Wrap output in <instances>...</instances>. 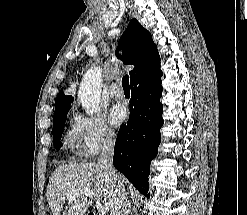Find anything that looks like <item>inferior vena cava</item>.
I'll return each instance as SVG.
<instances>
[{
    "mask_svg": "<svg viewBox=\"0 0 247 215\" xmlns=\"http://www.w3.org/2000/svg\"><path fill=\"white\" fill-rule=\"evenodd\" d=\"M115 140L106 139L103 142L102 151L97 161V165L104 170L105 178L114 188V198L112 201L111 215H128V199L125 188L119 180V174L113 167Z\"/></svg>",
    "mask_w": 247,
    "mask_h": 215,
    "instance_id": "obj_1",
    "label": "inferior vena cava"
}]
</instances>
